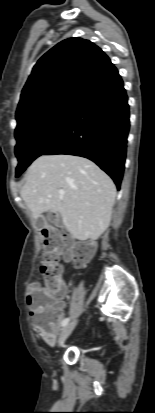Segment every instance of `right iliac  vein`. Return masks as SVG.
<instances>
[{
  "label": "right iliac vein",
  "mask_w": 155,
  "mask_h": 413,
  "mask_svg": "<svg viewBox=\"0 0 155 413\" xmlns=\"http://www.w3.org/2000/svg\"><path fill=\"white\" fill-rule=\"evenodd\" d=\"M76 325H77V321H72L62 329L60 336H59V340H58L59 346H62L64 344L65 340L74 330Z\"/></svg>",
  "instance_id": "63e3f726"
}]
</instances>
